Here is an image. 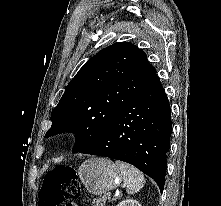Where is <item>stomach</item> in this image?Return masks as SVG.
<instances>
[{
  "label": "stomach",
  "mask_w": 221,
  "mask_h": 206,
  "mask_svg": "<svg viewBox=\"0 0 221 206\" xmlns=\"http://www.w3.org/2000/svg\"><path fill=\"white\" fill-rule=\"evenodd\" d=\"M78 176L88 191L103 194L118 187L123 180L120 169L109 159L91 158L78 169Z\"/></svg>",
  "instance_id": "1"
}]
</instances>
